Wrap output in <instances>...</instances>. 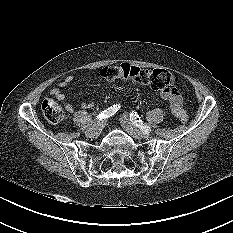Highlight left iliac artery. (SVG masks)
Returning a JSON list of instances; mask_svg holds the SVG:
<instances>
[{
    "label": "left iliac artery",
    "mask_w": 233,
    "mask_h": 233,
    "mask_svg": "<svg viewBox=\"0 0 233 233\" xmlns=\"http://www.w3.org/2000/svg\"><path fill=\"white\" fill-rule=\"evenodd\" d=\"M130 120L134 123L136 127H138L140 130L149 133L151 131V127L144 124L137 112L132 111L130 113Z\"/></svg>",
    "instance_id": "44dca946"
}]
</instances>
